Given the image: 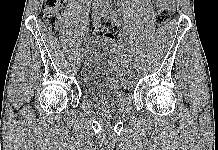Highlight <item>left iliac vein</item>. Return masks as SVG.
Masks as SVG:
<instances>
[{
  "label": "left iliac vein",
  "instance_id": "left-iliac-vein-1",
  "mask_svg": "<svg viewBox=\"0 0 218 150\" xmlns=\"http://www.w3.org/2000/svg\"><path fill=\"white\" fill-rule=\"evenodd\" d=\"M116 15H117V13H116L113 9H111L108 4L104 5L103 10H102V16H103L104 18L109 19V20H111V21H114V20H115L114 17H115ZM128 75H129V76H132V75H133V72H132V71H129V72H128Z\"/></svg>",
  "mask_w": 218,
  "mask_h": 150
}]
</instances>
